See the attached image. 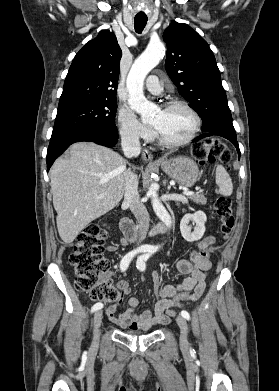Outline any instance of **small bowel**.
<instances>
[{"label": "small bowel", "instance_id": "small-bowel-1", "mask_svg": "<svg viewBox=\"0 0 279 391\" xmlns=\"http://www.w3.org/2000/svg\"><path fill=\"white\" fill-rule=\"evenodd\" d=\"M215 242L214 236L203 238L198 244V250L190 254L189 259H179L176 267L182 274L188 275L181 283L177 285H167L159 288V278L157 273L152 274L156 285L158 301L154 306V311L144 310L137 313L139 301L135 297L127 299V310L120 315H116V309L120 301L109 305L106 309V315L111 322L122 327L133 330H149L159 324H167L174 315V310L169 308V301L175 295L181 292H190L188 301H195L200 298L206 287L207 273L211 268L210 258H204L202 251L207 250ZM115 246L108 247V251H114ZM117 288L126 296L130 293L129 283L126 280H120ZM178 305L177 307L181 306ZM176 308V307H175Z\"/></svg>", "mask_w": 279, "mask_h": 391}]
</instances>
